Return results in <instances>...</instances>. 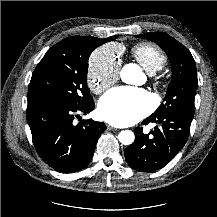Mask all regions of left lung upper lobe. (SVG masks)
Returning a JSON list of instances; mask_svg holds the SVG:
<instances>
[{"instance_id": "left-lung-upper-lobe-1", "label": "left lung upper lobe", "mask_w": 217, "mask_h": 217, "mask_svg": "<svg viewBox=\"0 0 217 217\" xmlns=\"http://www.w3.org/2000/svg\"><path fill=\"white\" fill-rule=\"evenodd\" d=\"M136 37L146 38L157 43L166 52L172 67V80L164 102L151 117L169 113L193 117L198 81L196 64L190 51L166 33H146Z\"/></svg>"}]
</instances>
